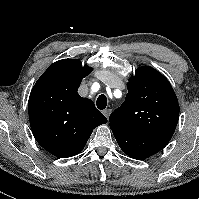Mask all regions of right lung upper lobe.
Returning <instances> with one entry per match:
<instances>
[{
	"label": "right lung upper lobe",
	"mask_w": 199,
	"mask_h": 199,
	"mask_svg": "<svg viewBox=\"0 0 199 199\" xmlns=\"http://www.w3.org/2000/svg\"><path fill=\"white\" fill-rule=\"evenodd\" d=\"M92 71L77 59L51 64L37 80L29 97V121L38 143L49 153L72 157L84 148L94 128L107 122L94 103L78 94Z\"/></svg>",
	"instance_id": "1"
}]
</instances>
